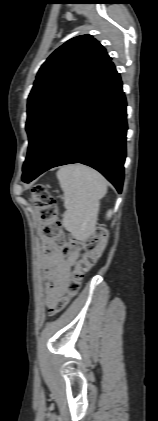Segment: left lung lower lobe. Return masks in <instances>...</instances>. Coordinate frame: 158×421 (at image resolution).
Segmentation results:
<instances>
[{"instance_id":"left-lung-lower-lobe-1","label":"left lung lower lobe","mask_w":158,"mask_h":421,"mask_svg":"<svg viewBox=\"0 0 158 421\" xmlns=\"http://www.w3.org/2000/svg\"><path fill=\"white\" fill-rule=\"evenodd\" d=\"M126 99L111 61L102 66L54 119L22 180L82 163L102 173L121 193L126 157Z\"/></svg>"}]
</instances>
